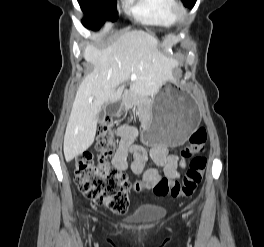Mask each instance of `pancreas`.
Masks as SVG:
<instances>
[{
	"instance_id": "pancreas-1",
	"label": "pancreas",
	"mask_w": 264,
	"mask_h": 247,
	"mask_svg": "<svg viewBox=\"0 0 264 247\" xmlns=\"http://www.w3.org/2000/svg\"><path fill=\"white\" fill-rule=\"evenodd\" d=\"M123 102H124L125 107L129 108V107L136 105L138 102V99L136 97L125 96Z\"/></svg>"
}]
</instances>
